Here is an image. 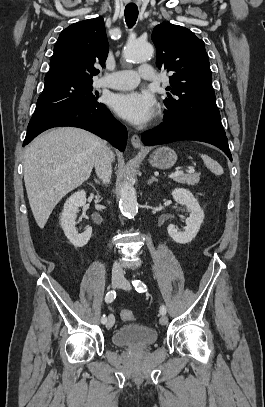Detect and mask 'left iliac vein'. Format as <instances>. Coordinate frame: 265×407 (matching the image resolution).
Wrapping results in <instances>:
<instances>
[{"label": "left iliac vein", "instance_id": "1", "mask_svg": "<svg viewBox=\"0 0 265 407\" xmlns=\"http://www.w3.org/2000/svg\"><path fill=\"white\" fill-rule=\"evenodd\" d=\"M120 288H122L124 290H130L131 285L126 279H123V281L120 285ZM159 322L161 325H166L168 323V317L166 315H162L159 319Z\"/></svg>", "mask_w": 265, "mask_h": 407}]
</instances>
